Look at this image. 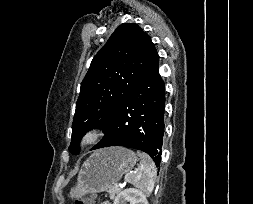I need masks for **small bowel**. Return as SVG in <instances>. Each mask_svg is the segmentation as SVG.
Returning a JSON list of instances; mask_svg holds the SVG:
<instances>
[{
  "mask_svg": "<svg viewBox=\"0 0 253 204\" xmlns=\"http://www.w3.org/2000/svg\"><path fill=\"white\" fill-rule=\"evenodd\" d=\"M101 204H110V203H108V202H103V203H101Z\"/></svg>",
  "mask_w": 253,
  "mask_h": 204,
  "instance_id": "c3829d8e",
  "label": "small bowel"
}]
</instances>
